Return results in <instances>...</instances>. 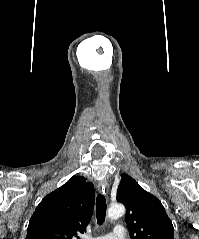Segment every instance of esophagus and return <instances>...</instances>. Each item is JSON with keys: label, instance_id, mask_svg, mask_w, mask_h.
<instances>
[{"label": "esophagus", "instance_id": "obj_1", "mask_svg": "<svg viewBox=\"0 0 199 239\" xmlns=\"http://www.w3.org/2000/svg\"><path fill=\"white\" fill-rule=\"evenodd\" d=\"M98 189L101 193L105 194L109 190V183L106 179L102 180L98 184Z\"/></svg>", "mask_w": 199, "mask_h": 239}]
</instances>
